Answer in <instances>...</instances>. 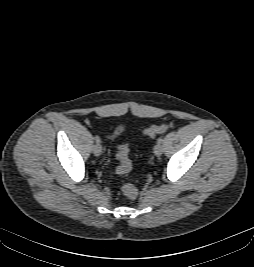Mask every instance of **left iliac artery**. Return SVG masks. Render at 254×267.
Wrapping results in <instances>:
<instances>
[{
	"instance_id": "44dca946",
	"label": "left iliac artery",
	"mask_w": 254,
	"mask_h": 267,
	"mask_svg": "<svg viewBox=\"0 0 254 267\" xmlns=\"http://www.w3.org/2000/svg\"><path fill=\"white\" fill-rule=\"evenodd\" d=\"M162 142H163V138L162 137L158 138L157 143L161 144Z\"/></svg>"
}]
</instances>
